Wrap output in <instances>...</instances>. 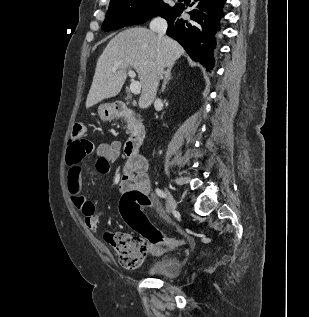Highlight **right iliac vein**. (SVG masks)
Segmentation results:
<instances>
[{"label":"right iliac vein","instance_id":"obj_1","mask_svg":"<svg viewBox=\"0 0 309 317\" xmlns=\"http://www.w3.org/2000/svg\"><path fill=\"white\" fill-rule=\"evenodd\" d=\"M167 196V208L169 213H171L176 208V202L168 189L165 190Z\"/></svg>","mask_w":309,"mask_h":317}]
</instances>
